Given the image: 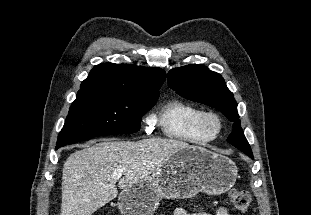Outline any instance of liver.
Masks as SVG:
<instances>
[{"label":"liver","mask_w":311,"mask_h":215,"mask_svg":"<svg viewBox=\"0 0 311 215\" xmlns=\"http://www.w3.org/2000/svg\"><path fill=\"white\" fill-rule=\"evenodd\" d=\"M188 143L150 138L136 142L103 140L75 151L66 160L62 174L60 215H92L118 195L112 174L124 170L118 182L126 189L145 180Z\"/></svg>","instance_id":"6515ba94"}]
</instances>
